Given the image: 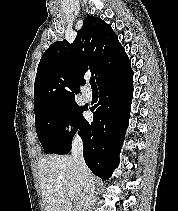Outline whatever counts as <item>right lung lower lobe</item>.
Segmentation results:
<instances>
[{
  "mask_svg": "<svg viewBox=\"0 0 178 211\" xmlns=\"http://www.w3.org/2000/svg\"><path fill=\"white\" fill-rule=\"evenodd\" d=\"M98 88L99 102L91 109L93 121L85 120L79 135L86 164L95 175L106 180L119 164V153L129 123L134 90L131 67ZM70 150L71 143L68 142L54 153L67 154Z\"/></svg>",
  "mask_w": 178,
  "mask_h": 211,
  "instance_id": "98d812e1",
  "label": "right lung lower lobe"
}]
</instances>
